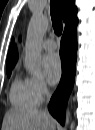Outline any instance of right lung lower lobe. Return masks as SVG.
Returning <instances> with one entry per match:
<instances>
[{"label": "right lung lower lobe", "mask_w": 95, "mask_h": 130, "mask_svg": "<svg viewBox=\"0 0 95 130\" xmlns=\"http://www.w3.org/2000/svg\"><path fill=\"white\" fill-rule=\"evenodd\" d=\"M60 56L62 60V77L60 84L51 98L50 113L64 124L65 106L74 84L77 58V33L76 29L64 33L61 40Z\"/></svg>", "instance_id": "obj_1"}]
</instances>
